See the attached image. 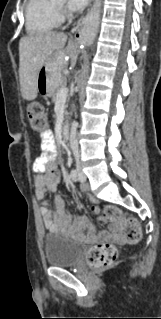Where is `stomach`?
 Returning a JSON list of instances; mask_svg holds the SVG:
<instances>
[{
    "label": "stomach",
    "mask_w": 161,
    "mask_h": 319,
    "mask_svg": "<svg viewBox=\"0 0 161 319\" xmlns=\"http://www.w3.org/2000/svg\"><path fill=\"white\" fill-rule=\"evenodd\" d=\"M63 65L59 55L55 54L47 59L38 72L37 91L44 96H52L62 83L61 71Z\"/></svg>",
    "instance_id": "1"
}]
</instances>
